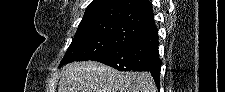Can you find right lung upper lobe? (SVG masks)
I'll return each instance as SVG.
<instances>
[{
	"label": "right lung upper lobe",
	"instance_id": "cb5924a9",
	"mask_svg": "<svg viewBox=\"0 0 225 92\" xmlns=\"http://www.w3.org/2000/svg\"><path fill=\"white\" fill-rule=\"evenodd\" d=\"M106 22L127 24L143 33L156 29L149 0H94L79 26Z\"/></svg>",
	"mask_w": 225,
	"mask_h": 92
}]
</instances>
